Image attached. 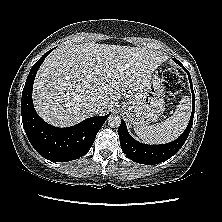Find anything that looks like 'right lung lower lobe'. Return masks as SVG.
Returning <instances> with one entry per match:
<instances>
[{
	"label": "right lung lower lobe",
	"mask_w": 222,
	"mask_h": 222,
	"mask_svg": "<svg viewBox=\"0 0 222 222\" xmlns=\"http://www.w3.org/2000/svg\"><path fill=\"white\" fill-rule=\"evenodd\" d=\"M53 49L46 52L31 68L22 92L21 114L23 127L34 149L48 160L67 162L89 151L109 114L90 117L66 128L51 126L38 116L32 101L33 83L39 67Z\"/></svg>",
	"instance_id": "right-lung-lower-lobe-1"
}]
</instances>
